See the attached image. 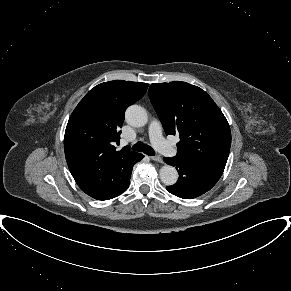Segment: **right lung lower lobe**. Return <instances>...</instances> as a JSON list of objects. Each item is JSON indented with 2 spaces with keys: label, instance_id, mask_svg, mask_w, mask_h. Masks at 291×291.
<instances>
[{
  "label": "right lung lower lobe",
  "instance_id": "1",
  "mask_svg": "<svg viewBox=\"0 0 291 291\" xmlns=\"http://www.w3.org/2000/svg\"><path fill=\"white\" fill-rule=\"evenodd\" d=\"M143 157H144L143 155L139 154V156H138L136 162H138L139 160H141ZM136 162H135V163H136ZM135 163H134V164H135ZM131 171H132V170H131ZM130 176H131V172H130V174L128 175V177L125 179V181H124V183L121 185V187L117 190V192H116L114 195H112V196H110V197H108V198H106V199H104V200L112 199V198H114V197L120 195L121 193H123V192L128 188V186H129V183H130Z\"/></svg>",
  "mask_w": 291,
  "mask_h": 291
}]
</instances>
